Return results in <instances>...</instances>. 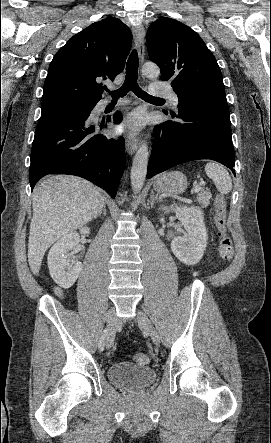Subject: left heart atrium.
Here are the masks:
<instances>
[{
    "label": "left heart atrium",
    "instance_id": "1",
    "mask_svg": "<svg viewBox=\"0 0 271 443\" xmlns=\"http://www.w3.org/2000/svg\"><path fill=\"white\" fill-rule=\"evenodd\" d=\"M145 122L146 118L143 112H131L118 126L117 132L128 137H136L140 133Z\"/></svg>",
    "mask_w": 271,
    "mask_h": 443
}]
</instances>
